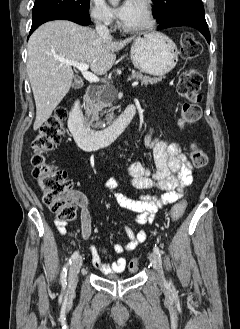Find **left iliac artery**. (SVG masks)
I'll use <instances>...</instances> for the list:
<instances>
[{"label":"left iliac artery","mask_w":240,"mask_h":329,"mask_svg":"<svg viewBox=\"0 0 240 329\" xmlns=\"http://www.w3.org/2000/svg\"><path fill=\"white\" fill-rule=\"evenodd\" d=\"M153 250H154L155 253H157L160 256L161 251H160V249L156 245H155V247H154Z\"/></svg>","instance_id":"1"}]
</instances>
